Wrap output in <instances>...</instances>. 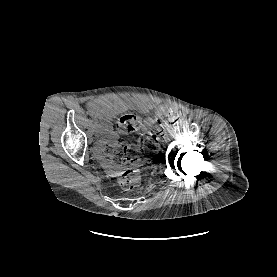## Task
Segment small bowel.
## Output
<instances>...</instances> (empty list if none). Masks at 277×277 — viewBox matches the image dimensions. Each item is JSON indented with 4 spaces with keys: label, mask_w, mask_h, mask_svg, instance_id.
<instances>
[{
    "label": "small bowel",
    "mask_w": 277,
    "mask_h": 277,
    "mask_svg": "<svg viewBox=\"0 0 277 277\" xmlns=\"http://www.w3.org/2000/svg\"><path fill=\"white\" fill-rule=\"evenodd\" d=\"M123 103L121 101H110L107 99H95L88 103V111L94 118L96 125L101 128L102 133L109 134L112 117L119 112ZM141 111L146 112L149 109L155 108L159 115H165L173 111V108L166 104L151 105L148 103L140 102L138 104ZM154 123L153 118L147 119V124ZM102 145L99 147V153L102 155ZM106 170L115 175L117 173L115 165L111 162L105 163Z\"/></svg>",
    "instance_id": "1"
}]
</instances>
